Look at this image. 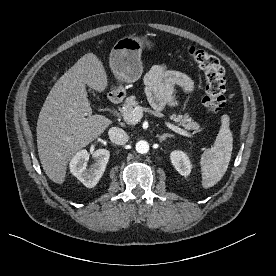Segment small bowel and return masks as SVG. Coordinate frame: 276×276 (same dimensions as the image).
I'll return each instance as SVG.
<instances>
[{
  "label": "small bowel",
  "mask_w": 276,
  "mask_h": 276,
  "mask_svg": "<svg viewBox=\"0 0 276 276\" xmlns=\"http://www.w3.org/2000/svg\"><path fill=\"white\" fill-rule=\"evenodd\" d=\"M144 82L149 100L156 111L176 104L173 98L174 87L179 86L186 92L194 89V82L187 74L165 65L154 66L146 74Z\"/></svg>",
  "instance_id": "obj_1"
}]
</instances>
